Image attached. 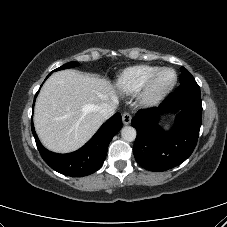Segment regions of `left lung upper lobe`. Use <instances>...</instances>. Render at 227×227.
Masks as SVG:
<instances>
[{"instance_id":"left-lung-upper-lobe-1","label":"left lung upper lobe","mask_w":227,"mask_h":227,"mask_svg":"<svg viewBox=\"0 0 227 227\" xmlns=\"http://www.w3.org/2000/svg\"><path fill=\"white\" fill-rule=\"evenodd\" d=\"M193 79H194L193 76L184 67H181L180 83Z\"/></svg>"}]
</instances>
